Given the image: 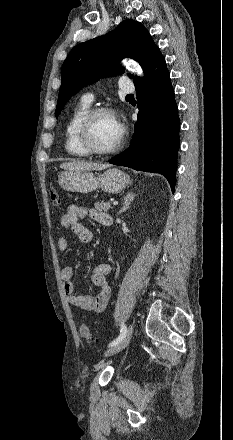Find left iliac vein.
Segmentation results:
<instances>
[{
    "label": "left iliac vein",
    "mask_w": 233,
    "mask_h": 440,
    "mask_svg": "<svg viewBox=\"0 0 233 440\" xmlns=\"http://www.w3.org/2000/svg\"><path fill=\"white\" fill-rule=\"evenodd\" d=\"M132 334H133V325L130 324L129 327L127 328L124 338L118 344L106 350L104 352V356L109 357L122 351L129 344Z\"/></svg>",
    "instance_id": "left-iliac-vein-1"
}]
</instances>
